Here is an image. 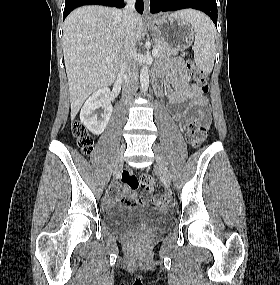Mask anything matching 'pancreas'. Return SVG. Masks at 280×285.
Wrapping results in <instances>:
<instances>
[{
    "label": "pancreas",
    "mask_w": 280,
    "mask_h": 285,
    "mask_svg": "<svg viewBox=\"0 0 280 285\" xmlns=\"http://www.w3.org/2000/svg\"><path fill=\"white\" fill-rule=\"evenodd\" d=\"M154 47L158 50V55L156 57L160 59L178 54V49L171 47L159 38L154 39Z\"/></svg>",
    "instance_id": "1"
}]
</instances>
